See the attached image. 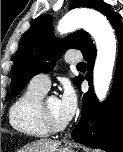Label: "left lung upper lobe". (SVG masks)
Instances as JSON below:
<instances>
[{"mask_svg":"<svg viewBox=\"0 0 123 152\" xmlns=\"http://www.w3.org/2000/svg\"><path fill=\"white\" fill-rule=\"evenodd\" d=\"M77 7L94 8L106 16L112 13L110 6L102 0H71L69 9ZM52 26V16L41 15L35 19L25 36L12 67L13 95H18L33 76L51 71L65 50L74 48L83 51L92 42L81 30L70 34L65 40L57 39ZM78 79L75 78L76 85Z\"/></svg>","mask_w":123,"mask_h":152,"instance_id":"5c2ea615","label":"left lung upper lobe"}]
</instances>
